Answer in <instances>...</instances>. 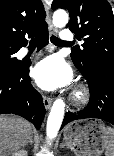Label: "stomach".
<instances>
[{
    "label": "stomach",
    "instance_id": "obj_1",
    "mask_svg": "<svg viewBox=\"0 0 114 156\" xmlns=\"http://www.w3.org/2000/svg\"><path fill=\"white\" fill-rule=\"evenodd\" d=\"M64 142L78 156H101L112 137L103 121L82 119L64 128Z\"/></svg>",
    "mask_w": 114,
    "mask_h": 156
}]
</instances>
